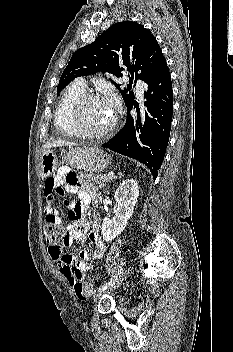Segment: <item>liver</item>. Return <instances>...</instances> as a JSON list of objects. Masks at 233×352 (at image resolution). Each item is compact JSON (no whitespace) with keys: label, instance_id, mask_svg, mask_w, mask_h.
I'll return each mask as SVG.
<instances>
[{"label":"liver","instance_id":"1","mask_svg":"<svg viewBox=\"0 0 233 352\" xmlns=\"http://www.w3.org/2000/svg\"><path fill=\"white\" fill-rule=\"evenodd\" d=\"M73 145H76V144L73 142H69V141H65V140H61V139L54 140V141H47L43 146V152L52 148V147H61V146L71 147Z\"/></svg>","mask_w":233,"mask_h":352}]
</instances>
